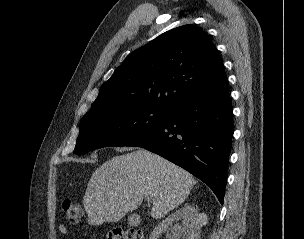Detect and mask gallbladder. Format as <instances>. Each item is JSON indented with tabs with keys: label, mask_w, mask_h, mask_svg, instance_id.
I'll use <instances>...</instances> for the list:
<instances>
[{
	"label": "gallbladder",
	"mask_w": 304,
	"mask_h": 239,
	"mask_svg": "<svg viewBox=\"0 0 304 239\" xmlns=\"http://www.w3.org/2000/svg\"><path fill=\"white\" fill-rule=\"evenodd\" d=\"M128 224L129 225H131V226H133V225H135V223L133 222V218H132V216H130L129 218H128Z\"/></svg>",
	"instance_id": "bac80fb5"
}]
</instances>
